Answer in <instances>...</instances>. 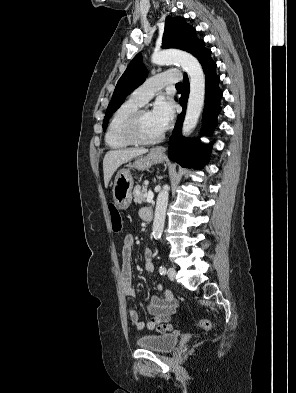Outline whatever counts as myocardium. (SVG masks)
<instances>
[{"mask_svg":"<svg viewBox=\"0 0 296 393\" xmlns=\"http://www.w3.org/2000/svg\"><path fill=\"white\" fill-rule=\"evenodd\" d=\"M147 111L145 108H139L128 118L123 127V136L132 145H152L158 143L163 138L162 133L150 139L141 137L140 121L142 115Z\"/></svg>","mask_w":296,"mask_h":393,"instance_id":"obj_1","label":"myocardium"}]
</instances>
